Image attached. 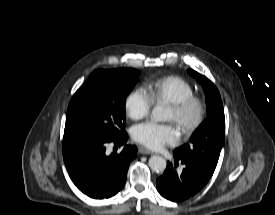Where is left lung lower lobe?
Listing matches in <instances>:
<instances>
[{"label":"left lung lower lobe","instance_id":"0a47b994","mask_svg":"<svg viewBox=\"0 0 275 215\" xmlns=\"http://www.w3.org/2000/svg\"><path fill=\"white\" fill-rule=\"evenodd\" d=\"M174 158L175 165L167 163L163 175L156 180V187L164 198L181 202L200 192L212 177L215 168L194 160ZM178 162L184 165L182 172L176 171Z\"/></svg>","mask_w":275,"mask_h":215}]
</instances>
